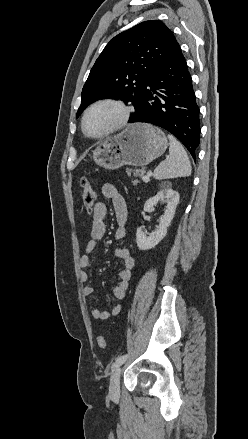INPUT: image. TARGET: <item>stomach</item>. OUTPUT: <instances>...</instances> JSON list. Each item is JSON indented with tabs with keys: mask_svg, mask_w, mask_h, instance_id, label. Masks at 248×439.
<instances>
[{
	"mask_svg": "<svg viewBox=\"0 0 248 439\" xmlns=\"http://www.w3.org/2000/svg\"><path fill=\"white\" fill-rule=\"evenodd\" d=\"M167 146V137L162 130L150 124L135 123L102 141L93 151V159L98 166L108 170L124 165L142 167L160 157Z\"/></svg>",
	"mask_w": 248,
	"mask_h": 439,
	"instance_id": "obj_1",
	"label": "stomach"
}]
</instances>
